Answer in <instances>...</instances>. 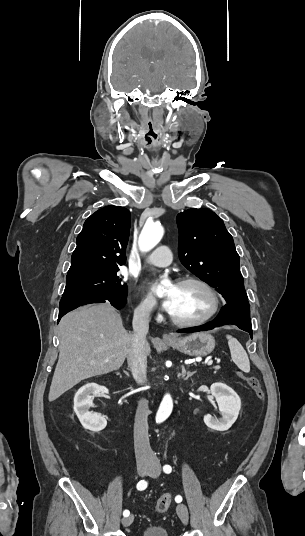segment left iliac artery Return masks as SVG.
<instances>
[{
	"label": "left iliac artery",
	"mask_w": 305,
	"mask_h": 536,
	"mask_svg": "<svg viewBox=\"0 0 305 536\" xmlns=\"http://www.w3.org/2000/svg\"><path fill=\"white\" fill-rule=\"evenodd\" d=\"M163 471H164L165 473L168 474V473H171L172 468H171V466H169V465H165V466L163 467ZM175 501H176L177 503H180V502L182 501V497H181L180 495L176 496Z\"/></svg>",
	"instance_id": "obj_1"
}]
</instances>
